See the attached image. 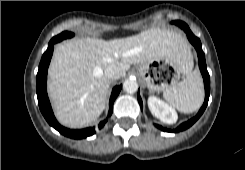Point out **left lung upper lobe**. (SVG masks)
<instances>
[{
    "instance_id": "left-lung-upper-lobe-1",
    "label": "left lung upper lobe",
    "mask_w": 245,
    "mask_h": 170,
    "mask_svg": "<svg viewBox=\"0 0 245 170\" xmlns=\"http://www.w3.org/2000/svg\"><path fill=\"white\" fill-rule=\"evenodd\" d=\"M173 23L178 25L180 23V21H174Z\"/></svg>"
}]
</instances>
